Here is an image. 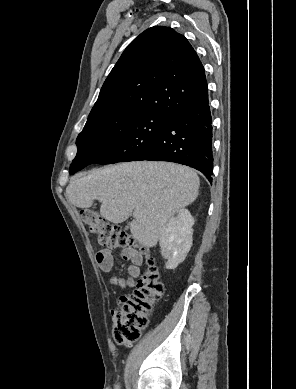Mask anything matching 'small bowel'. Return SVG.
Here are the masks:
<instances>
[{"mask_svg":"<svg viewBox=\"0 0 296 389\" xmlns=\"http://www.w3.org/2000/svg\"><path fill=\"white\" fill-rule=\"evenodd\" d=\"M121 256L125 260L131 261V264L127 268L128 277L114 276L111 278V284L119 287L122 290H126L134 285V281L140 275V265L142 263V256L133 248H125L121 252ZM96 260L100 268L104 272H111L113 269L114 261L111 252L108 249H102L97 252Z\"/></svg>","mask_w":296,"mask_h":389,"instance_id":"obj_1","label":"small bowel"}]
</instances>
